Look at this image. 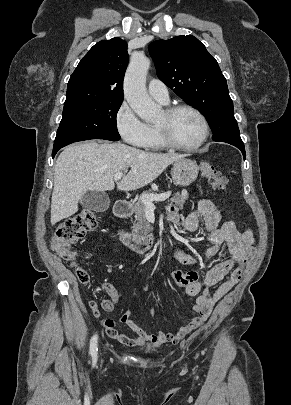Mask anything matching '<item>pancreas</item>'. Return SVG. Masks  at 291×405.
I'll use <instances>...</instances> for the list:
<instances>
[{
  "label": "pancreas",
  "instance_id": "cf45deb5",
  "mask_svg": "<svg viewBox=\"0 0 291 405\" xmlns=\"http://www.w3.org/2000/svg\"><path fill=\"white\" fill-rule=\"evenodd\" d=\"M144 194H154V193L152 191H148V192H145ZM187 198H188L187 193L180 194L179 192H177L171 198V201L179 209H182ZM145 209H146V205L142 202L141 197H140V199L135 202L134 210H133L135 213V220H136L133 225V231L137 235L146 236L152 231V227L148 223V221L146 220V217H145Z\"/></svg>",
  "mask_w": 291,
  "mask_h": 405
}]
</instances>
